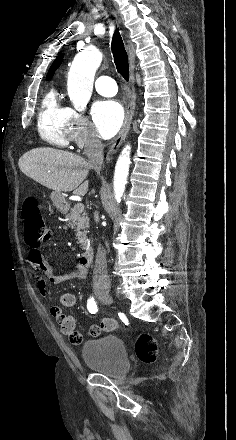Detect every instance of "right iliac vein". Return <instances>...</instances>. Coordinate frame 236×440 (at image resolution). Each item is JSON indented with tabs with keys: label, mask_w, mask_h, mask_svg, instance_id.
<instances>
[{
	"label": "right iliac vein",
	"mask_w": 236,
	"mask_h": 440,
	"mask_svg": "<svg viewBox=\"0 0 236 440\" xmlns=\"http://www.w3.org/2000/svg\"><path fill=\"white\" fill-rule=\"evenodd\" d=\"M98 296L106 304H111L113 302L111 295L107 291L99 292Z\"/></svg>",
	"instance_id": "right-iliac-vein-1"
}]
</instances>
